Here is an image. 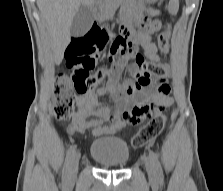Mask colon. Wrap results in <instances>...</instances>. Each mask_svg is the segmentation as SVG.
<instances>
[{"label": "colon", "mask_w": 223, "mask_h": 191, "mask_svg": "<svg viewBox=\"0 0 223 191\" xmlns=\"http://www.w3.org/2000/svg\"><path fill=\"white\" fill-rule=\"evenodd\" d=\"M170 31L166 30L158 36V46L166 54L169 49ZM109 46V56L116 61L111 68L95 69L100 55ZM66 65L71 75L60 74L54 85V115L57 120L65 121L74 115L76 96L88 94L98 83H101L121 69L127 62L136 67L134 85H148L152 78H170V63H156L144 59L126 35H119L110 41L109 33L104 29L91 28L81 36L74 37L65 51ZM156 114L131 139L134 148L148 145L162 131L165 115L155 109Z\"/></svg>", "instance_id": "colon-1"}]
</instances>
